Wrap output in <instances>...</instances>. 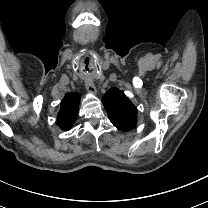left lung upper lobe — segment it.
Here are the masks:
<instances>
[{
  "label": "left lung upper lobe",
  "instance_id": "left-lung-upper-lobe-1",
  "mask_svg": "<svg viewBox=\"0 0 208 208\" xmlns=\"http://www.w3.org/2000/svg\"><path fill=\"white\" fill-rule=\"evenodd\" d=\"M102 103L110 121L120 130L129 131L137 123V108L118 88L113 87L106 92Z\"/></svg>",
  "mask_w": 208,
  "mask_h": 208
}]
</instances>
